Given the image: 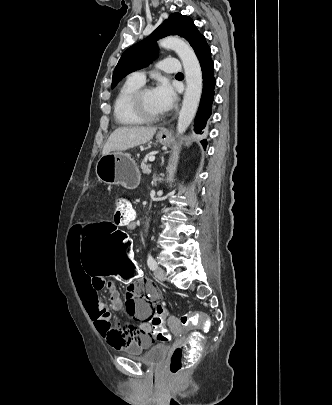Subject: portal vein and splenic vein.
<instances>
[{
	"label": "portal vein and splenic vein",
	"mask_w": 332,
	"mask_h": 405,
	"mask_svg": "<svg viewBox=\"0 0 332 405\" xmlns=\"http://www.w3.org/2000/svg\"><path fill=\"white\" fill-rule=\"evenodd\" d=\"M155 160V156H151L150 158H149V161L150 162H153Z\"/></svg>",
	"instance_id": "portal-vein-and-splenic-vein-1"
}]
</instances>
